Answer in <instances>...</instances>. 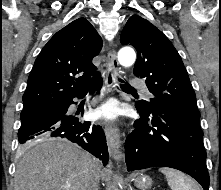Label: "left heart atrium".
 Segmentation results:
<instances>
[{
  "label": "left heart atrium",
  "mask_w": 221,
  "mask_h": 190,
  "mask_svg": "<svg viewBox=\"0 0 221 190\" xmlns=\"http://www.w3.org/2000/svg\"><path fill=\"white\" fill-rule=\"evenodd\" d=\"M95 115L100 119H113L116 116V106L111 102L105 103L96 110Z\"/></svg>",
  "instance_id": "1"
}]
</instances>
